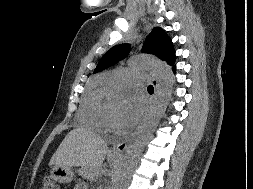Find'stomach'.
Here are the masks:
<instances>
[{"mask_svg":"<svg viewBox=\"0 0 253 189\" xmlns=\"http://www.w3.org/2000/svg\"><path fill=\"white\" fill-rule=\"evenodd\" d=\"M51 173L55 181L63 184L70 183L74 178V171L70 166L64 167L55 165Z\"/></svg>","mask_w":253,"mask_h":189,"instance_id":"obj_1","label":"stomach"}]
</instances>
